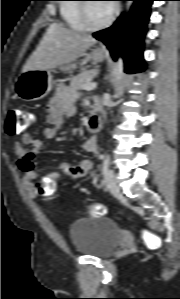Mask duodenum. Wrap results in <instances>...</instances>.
I'll return each instance as SVG.
<instances>
[{"label": "duodenum", "mask_w": 180, "mask_h": 299, "mask_svg": "<svg viewBox=\"0 0 180 299\" xmlns=\"http://www.w3.org/2000/svg\"><path fill=\"white\" fill-rule=\"evenodd\" d=\"M103 119L104 115L101 111H93L88 121L89 129L93 132H98L102 125Z\"/></svg>", "instance_id": "duodenum-1"}]
</instances>
